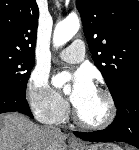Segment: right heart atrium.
Masks as SVG:
<instances>
[{"label": "right heart atrium", "instance_id": "right-heart-atrium-1", "mask_svg": "<svg viewBox=\"0 0 139 150\" xmlns=\"http://www.w3.org/2000/svg\"><path fill=\"white\" fill-rule=\"evenodd\" d=\"M27 99L30 109L42 122H59L68 112L67 103L50 87L47 74L40 69L30 75Z\"/></svg>", "mask_w": 139, "mask_h": 150}]
</instances>
